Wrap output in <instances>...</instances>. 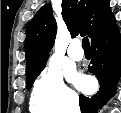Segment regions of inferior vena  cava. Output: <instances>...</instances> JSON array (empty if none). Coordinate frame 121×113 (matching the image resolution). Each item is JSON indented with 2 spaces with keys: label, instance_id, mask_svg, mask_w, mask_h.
I'll list each match as a JSON object with an SVG mask.
<instances>
[{
  "label": "inferior vena cava",
  "instance_id": "602c4592",
  "mask_svg": "<svg viewBox=\"0 0 121 113\" xmlns=\"http://www.w3.org/2000/svg\"><path fill=\"white\" fill-rule=\"evenodd\" d=\"M69 113H80V108L78 102H74L70 104Z\"/></svg>",
  "mask_w": 121,
  "mask_h": 113
}]
</instances>
